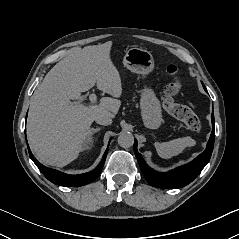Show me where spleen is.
Returning <instances> with one entry per match:
<instances>
[{"label":"spleen","mask_w":239,"mask_h":239,"mask_svg":"<svg viewBox=\"0 0 239 239\" xmlns=\"http://www.w3.org/2000/svg\"><path fill=\"white\" fill-rule=\"evenodd\" d=\"M196 141L191 137H182L169 142L155 143V148L161 158L169 159L180 154L186 147H192Z\"/></svg>","instance_id":"obj_1"}]
</instances>
